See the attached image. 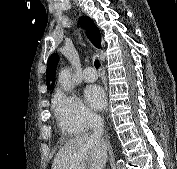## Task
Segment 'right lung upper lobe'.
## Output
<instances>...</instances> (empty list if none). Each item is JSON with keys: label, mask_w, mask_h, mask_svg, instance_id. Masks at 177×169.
<instances>
[{"label": "right lung upper lobe", "mask_w": 177, "mask_h": 169, "mask_svg": "<svg viewBox=\"0 0 177 169\" xmlns=\"http://www.w3.org/2000/svg\"><path fill=\"white\" fill-rule=\"evenodd\" d=\"M83 21L87 22V35L92 41L95 47L100 48L101 35L98 27L94 22L87 16H83ZM59 57L57 54H52L48 60V66L46 71V80L48 88L52 89L55 81V70L58 63ZM52 82V84H50Z\"/></svg>", "instance_id": "1"}]
</instances>
